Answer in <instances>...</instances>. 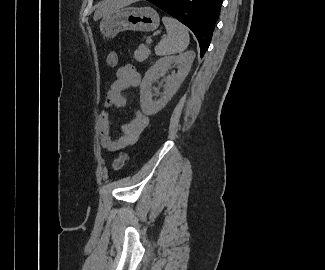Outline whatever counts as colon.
<instances>
[{
  "instance_id": "5ec220e1",
  "label": "colon",
  "mask_w": 325,
  "mask_h": 270,
  "mask_svg": "<svg viewBox=\"0 0 325 270\" xmlns=\"http://www.w3.org/2000/svg\"><path fill=\"white\" fill-rule=\"evenodd\" d=\"M118 64V54L115 51H111L107 56V65L109 67H115ZM128 155L126 153L120 154L113 162V169L119 170L123 167Z\"/></svg>"
}]
</instances>
